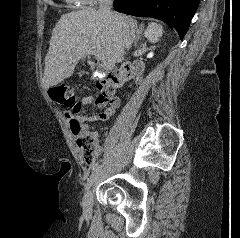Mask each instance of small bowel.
Instances as JSON below:
<instances>
[{
  "label": "small bowel",
  "instance_id": "1",
  "mask_svg": "<svg viewBox=\"0 0 240 238\" xmlns=\"http://www.w3.org/2000/svg\"><path fill=\"white\" fill-rule=\"evenodd\" d=\"M82 104L89 105L93 102L92 96H85L81 100ZM119 106V99L114 98L113 102L101 113H95L90 115H73L71 112L66 111L65 116L67 119L72 117H76L82 123H95L100 121L108 120L116 111L117 107ZM95 137L97 138V133H94Z\"/></svg>",
  "mask_w": 240,
  "mask_h": 238
}]
</instances>
